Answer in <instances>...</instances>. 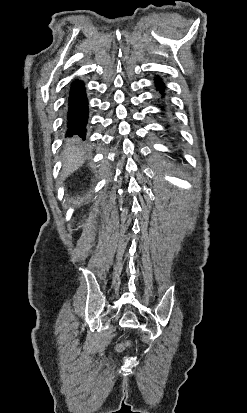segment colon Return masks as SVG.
<instances>
[{"mask_svg": "<svg viewBox=\"0 0 247 413\" xmlns=\"http://www.w3.org/2000/svg\"><path fill=\"white\" fill-rule=\"evenodd\" d=\"M114 349H115V350H120V349H121V344H120V343H115V344H114ZM124 352H125L126 354H129V353L131 352V349H130L129 347H126V348L124 349Z\"/></svg>", "mask_w": 247, "mask_h": 413, "instance_id": "obj_1", "label": "colon"}]
</instances>
